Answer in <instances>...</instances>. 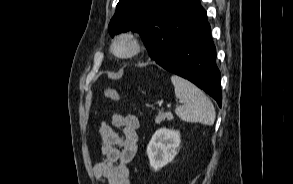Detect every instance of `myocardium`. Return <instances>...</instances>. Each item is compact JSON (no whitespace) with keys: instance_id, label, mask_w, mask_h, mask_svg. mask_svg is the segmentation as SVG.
<instances>
[{"instance_id":"obj_1","label":"myocardium","mask_w":293,"mask_h":184,"mask_svg":"<svg viewBox=\"0 0 293 184\" xmlns=\"http://www.w3.org/2000/svg\"><path fill=\"white\" fill-rule=\"evenodd\" d=\"M124 43L127 45V49L125 51H120L119 46ZM142 49L143 41L141 37L132 31L119 34L111 44L113 54L122 59L133 58L140 54Z\"/></svg>"}]
</instances>
